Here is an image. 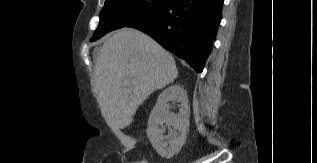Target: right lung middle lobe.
<instances>
[{
	"label": "right lung middle lobe",
	"instance_id": "right-lung-middle-lobe-1",
	"mask_svg": "<svg viewBox=\"0 0 317 163\" xmlns=\"http://www.w3.org/2000/svg\"><path fill=\"white\" fill-rule=\"evenodd\" d=\"M169 0H105L100 12V22L91 42L107 32L127 27L164 6Z\"/></svg>",
	"mask_w": 317,
	"mask_h": 163
}]
</instances>
